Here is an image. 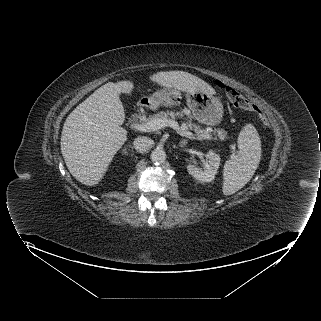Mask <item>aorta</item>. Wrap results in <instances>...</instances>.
I'll return each instance as SVG.
<instances>
[{
  "instance_id": "1",
  "label": "aorta",
  "mask_w": 321,
  "mask_h": 321,
  "mask_svg": "<svg viewBox=\"0 0 321 321\" xmlns=\"http://www.w3.org/2000/svg\"><path fill=\"white\" fill-rule=\"evenodd\" d=\"M150 159L154 164H162L166 160V152L163 149H155L151 152Z\"/></svg>"
}]
</instances>
